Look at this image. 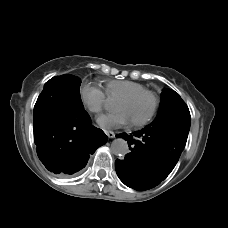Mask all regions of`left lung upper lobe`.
I'll return each instance as SVG.
<instances>
[{"label": "left lung upper lobe", "instance_id": "1", "mask_svg": "<svg viewBox=\"0 0 228 228\" xmlns=\"http://www.w3.org/2000/svg\"><path fill=\"white\" fill-rule=\"evenodd\" d=\"M191 123L190 112L174 90L163 89L159 112L155 120L146 127L169 129L171 132L188 134Z\"/></svg>", "mask_w": 228, "mask_h": 228}]
</instances>
